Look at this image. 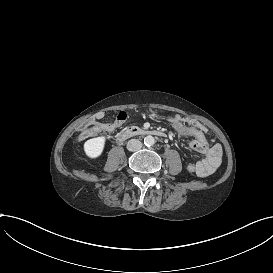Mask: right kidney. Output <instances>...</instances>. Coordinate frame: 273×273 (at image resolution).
Instances as JSON below:
<instances>
[{"label":"right kidney","mask_w":273,"mask_h":273,"mask_svg":"<svg viewBox=\"0 0 273 273\" xmlns=\"http://www.w3.org/2000/svg\"><path fill=\"white\" fill-rule=\"evenodd\" d=\"M106 142V135H100L86 140L83 144L84 154L90 160L99 159L104 153Z\"/></svg>","instance_id":"right-kidney-1"}]
</instances>
